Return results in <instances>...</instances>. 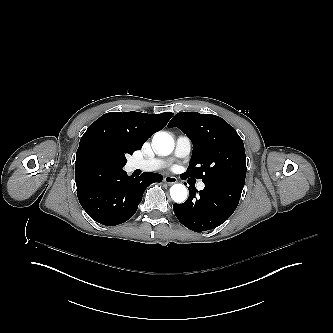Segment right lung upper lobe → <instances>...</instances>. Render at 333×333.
Returning a JSON list of instances; mask_svg holds the SVG:
<instances>
[{
  "mask_svg": "<svg viewBox=\"0 0 333 333\" xmlns=\"http://www.w3.org/2000/svg\"><path fill=\"white\" fill-rule=\"evenodd\" d=\"M173 116V113L157 115L140 112H110L92 123L80 140L76 161L82 160L85 147L99 140L119 151L133 153L155 132L161 130Z\"/></svg>",
  "mask_w": 333,
  "mask_h": 333,
  "instance_id": "1",
  "label": "right lung upper lobe"
}]
</instances>
